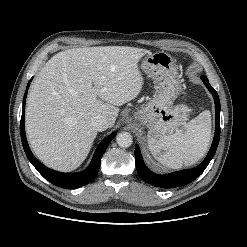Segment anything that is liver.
<instances>
[{
    "label": "liver",
    "mask_w": 247,
    "mask_h": 247,
    "mask_svg": "<svg viewBox=\"0 0 247 247\" xmlns=\"http://www.w3.org/2000/svg\"><path fill=\"white\" fill-rule=\"evenodd\" d=\"M148 50L126 46L68 49L54 55L29 91L25 128L30 146L48 167L72 171L86 159L104 116L113 127L121 106L138 96L139 60Z\"/></svg>",
    "instance_id": "liver-1"
}]
</instances>
